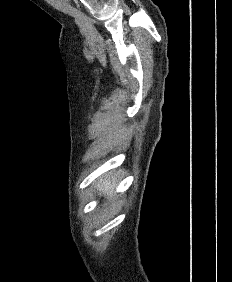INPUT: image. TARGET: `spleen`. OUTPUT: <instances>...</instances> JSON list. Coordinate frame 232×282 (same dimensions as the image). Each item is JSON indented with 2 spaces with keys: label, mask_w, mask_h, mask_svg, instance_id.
<instances>
[{
  "label": "spleen",
  "mask_w": 232,
  "mask_h": 282,
  "mask_svg": "<svg viewBox=\"0 0 232 282\" xmlns=\"http://www.w3.org/2000/svg\"><path fill=\"white\" fill-rule=\"evenodd\" d=\"M115 183V181L113 182V184ZM113 187V185L110 184V182H104V192H108L111 188Z\"/></svg>",
  "instance_id": "spleen-1"
}]
</instances>
